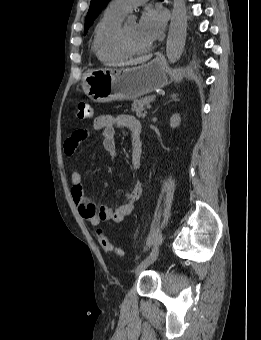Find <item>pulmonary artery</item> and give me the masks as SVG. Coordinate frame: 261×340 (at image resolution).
I'll use <instances>...</instances> for the list:
<instances>
[{
  "instance_id": "1",
  "label": "pulmonary artery",
  "mask_w": 261,
  "mask_h": 340,
  "mask_svg": "<svg viewBox=\"0 0 261 340\" xmlns=\"http://www.w3.org/2000/svg\"><path fill=\"white\" fill-rule=\"evenodd\" d=\"M147 0H112L109 6L112 9L118 10L126 14L131 7L144 3Z\"/></svg>"
}]
</instances>
